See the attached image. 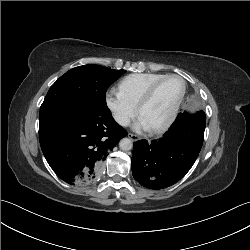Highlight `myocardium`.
Here are the masks:
<instances>
[{
	"instance_id": "f54148a6",
	"label": "myocardium",
	"mask_w": 250,
	"mask_h": 250,
	"mask_svg": "<svg viewBox=\"0 0 250 250\" xmlns=\"http://www.w3.org/2000/svg\"><path fill=\"white\" fill-rule=\"evenodd\" d=\"M170 78H176L179 79L182 83V90L181 93L172 109L171 114L169 115V117L160 125L152 127V128H148L149 131L151 133L157 134V133H162L164 131H166L175 121L181 104L183 102V99L185 97L186 94V81L184 80L183 77H181L180 75L177 74H166L164 76H162L161 78L157 79L156 81H154L149 87L148 89L145 91V93L143 94V96L141 97L140 101L137 104V113L140 116L141 112L143 110V108L149 103V101L152 99V97L154 96L155 91L157 90V88L159 87V85L164 82L167 79Z\"/></svg>"
}]
</instances>
